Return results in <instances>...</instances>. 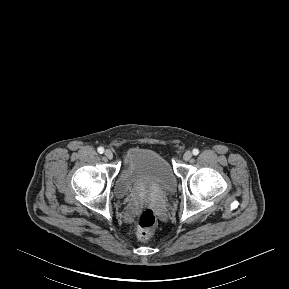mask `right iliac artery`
<instances>
[{
  "label": "right iliac artery",
  "instance_id": "right-iliac-artery-1",
  "mask_svg": "<svg viewBox=\"0 0 289 289\" xmlns=\"http://www.w3.org/2000/svg\"><path fill=\"white\" fill-rule=\"evenodd\" d=\"M97 151H98V153L102 154L104 152V148L103 147H98Z\"/></svg>",
  "mask_w": 289,
  "mask_h": 289
}]
</instances>
